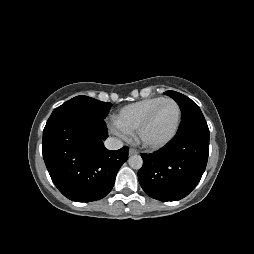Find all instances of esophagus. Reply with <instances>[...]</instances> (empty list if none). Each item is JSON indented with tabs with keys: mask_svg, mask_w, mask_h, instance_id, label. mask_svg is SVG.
Masks as SVG:
<instances>
[{
	"mask_svg": "<svg viewBox=\"0 0 254 254\" xmlns=\"http://www.w3.org/2000/svg\"><path fill=\"white\" fill-rule=\"evenodd\" d=\"M135 154H138V151L134 148H130L129 149V155L131 156V155H135Z\"/></svg>",
	"mask_w": 254,
	"mask_h": 254,
	"instance_id": "esophagus-1",
	"label": "esophagus"
}]
</instances>
